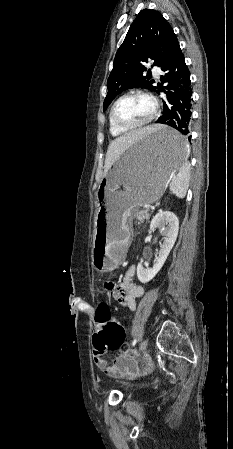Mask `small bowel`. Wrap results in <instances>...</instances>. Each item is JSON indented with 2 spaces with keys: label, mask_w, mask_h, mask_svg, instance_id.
I'll return each instance as SVG.
<instances>
[{
  "label": "small bowel",
  "mask_w": 233,
  "mask_h": 449,
  "mask_svg": "<svg viewBox=\"0 0 233 449\" xmlns=\"http://www.w3.org/2000/svg\"><path fill=\"white\" fill-rule=\"evenodd\" d=\"M134 276L135 267L131 266L122 275L118 286L114 278H107L103 284V289L105 291H108L109 294H113V297L119 303L132 311L136 308V300L143 294V287L134 282ZM95 311L93 313L94 319H96ZM93 358L96 366L110 377L121 376L125 371L130 370L132 365V361L127 353L116 357L112 365L108 364V361L103 357V354L96 348L94 350Z\"/></svg>",
  "instance_id": "1"
}]
</instances>
